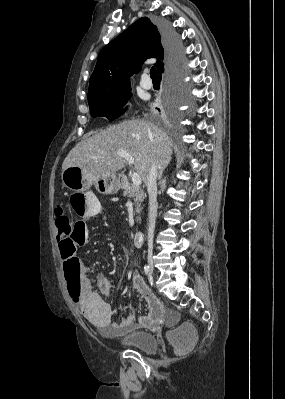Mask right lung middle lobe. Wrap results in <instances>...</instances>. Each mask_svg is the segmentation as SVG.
<instances>
[{"mask_svg":"<svg viewBox=\"0 0 285 399\" xmlns=\"http://www.w3.org/2000/svg\"><path fill=\"white\" fill-rule=\"evenodd\" d=\"M184 96V85L182 81L179 80L174 86L173 97L176 100H180ZM130 97V89H127L116 94L101 95L96 98L90 99L88 101L91 116H102L108 118L110 121H113L124 112L123 106L127 103Z\"/></svg>","mask_w":285,"mask_h":399,"instance_id":"1","label":"right lung middle lobe"}]
</instances>
